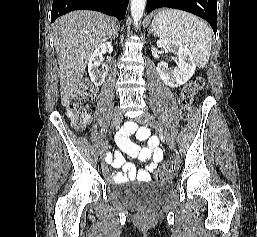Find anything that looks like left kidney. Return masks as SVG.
I'll return each mask as SVG.
<instances>
[{
	"label": "left kidney",
	"instance_id": "1",
	"mask_svg": "<svg viewBox=\"0 0 257 237\" xmlns=\"http://www.w3.org/2000/svg\"><path fill=\"white\" fill-rule=\"evenodd\" d=\"M157 47L164 48L166 52H172L177 59V67L169 68L165 62L157 65V71L163 82L169 87L176 88L186 83L195 73L196 66L191 52L182 43L168 40H158Z\"/></svg>",
	"mask_w": 257,
	"mask_h": 237
}]
</instances>
